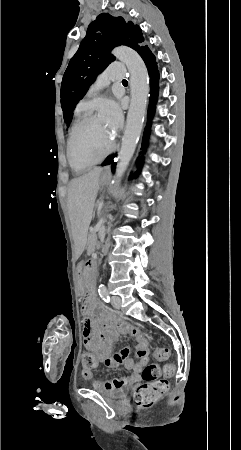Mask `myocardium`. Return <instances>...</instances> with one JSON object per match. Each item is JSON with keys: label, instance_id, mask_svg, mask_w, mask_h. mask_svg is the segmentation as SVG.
Wrapping results in <instances>:
<instances>
[{"label": "myocardium", "instance_id": "f54148a6", "mask_svg": "<svg viewBox=\"0 0 241 450\" xmlns=\"http://www.w3.org/2000/svg\"><path fill=\"white\" fill-rule=\"evenodd\" d=\"M81 116H73V121H75V122H73V127L71 128V131H70V136L68 137V145H67V148H68V152H67V157H69V161L70 162H76V156H75V153H74V150H73V144H75V141L77 140V135H78V131L76 130V128L78 127V125L80 124V121H81ZM76 121H78V122H76ZM105 157H108V153H105ZM98 162H104V160H98Z\"/></svg>", "mask_w": 241, "mask_h": 450}]
</instances>
